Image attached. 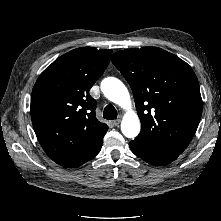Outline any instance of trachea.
<instances>
[{"label": "trachea", "mask_w": 221, "mask_h": 221, "mask_svg": "<svg viewBox=\"0 0 221 221\" xmlns=\"http://www.w3.org/2000/svg\"><path fill=\"white\" fill-rule=\"evenodd\" d=\"M103 117L107 120H113L117 118V111L112 105H107L103 112Z\"/></svg>", "instance_id": "obj_1"}]
</instances>
